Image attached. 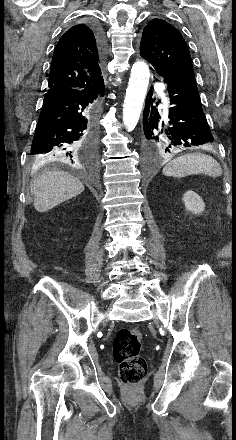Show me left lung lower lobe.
Returning <instances> with one entry per match:
<instances>
[{
    "label": "left lung lower lobe",
    "instance_id": "0a47b994",
    "mask_svg": "<svg viewBox=\"0 0 236 440\" xmlns=\"http://www.w3.org/2000/svg\"><path fill=\"white\" fill-rule=\"evenodd\" d=\"M168 85L171 108L163 118L157 110L156 98L150 90L143 114V141L149 156L155 153H176L213 142L201 106L194 75L155 76Z\"/></svg>",
    "mask_w": 236,
    "mask_h": 440
}]
</instances>
